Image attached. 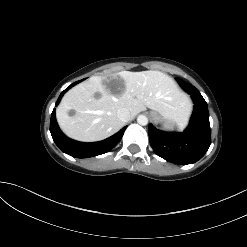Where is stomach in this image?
Returning a JSON list of instances; mask_svg holds the SVG:
<instances>
[{
  "label": "stomach",
  "mask_w": 247,
  "mask_h": 247,
  "mask_svg": "<svg viewBox=\"0 0 247 247\" xmlns=\"http://www.w3.org/2000/svg\"><path fill=\"white\" fill-rule=\"evenodd\" d=\"M151 116L154 120L155 123H160L165 129H173L175 123L171 120L165 119L162 115L156 113V112H151Z\"/></svg>",
  "instance_id": "1"
}]
</instances>
